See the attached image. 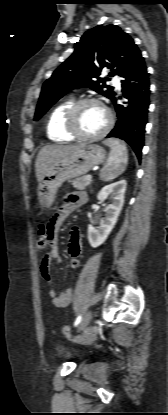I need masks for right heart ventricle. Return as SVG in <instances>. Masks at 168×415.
I'll list each match as a JSON object with an SVG mask.
<instances>
[{"mask_svg": "<svg viewBox=\"0 0 168 415\" xmlns=\"http://www.w3.org/2000/svg\"><path fill=\"white\" fill-rule=\"evenodd\" d=\"M73 98L67 99L58 104L50 113L47 122V136L50 140L58 143L73 141L75 138L71 136L65 128V118L67 111L73 105Z\"/></svg>", "mask_w": 168, "mask_h": 415, "instance_id": "obj_1", "label": "right heart ventricle"}]
</instances>
